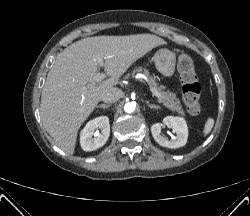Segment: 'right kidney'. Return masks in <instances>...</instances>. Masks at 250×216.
<instances>
[{"instance_id":"ca27d5eb","label":"right kidney","mask_w":250,"mask_h":216,"mask_svg":"<svg viewBox=\"0 0 250 216\" xmlns=\"http://www.w3.org/2000/svg\"><path fill=\"white\" fill-rule=\"evenodd\" d=\"M109 134V118L107 116L97 117L89 121L81 131L80 145L84 151H94L106 143Z\"/></svg>"}]
</instances>
